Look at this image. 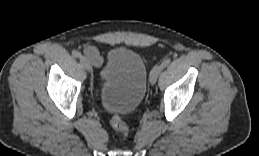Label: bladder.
<instances>
[{"label": "bladder", "instance_id": "1", "mask_svg": "<svg viewBox=\"0 0 259 156\" xmlns=\"http://www.w3.org/2000/svg\"><path fill=\"white\" fill-rule=\"evenodd\" d=\"M103 106L118 115L132 113L141 104L147 83V69L141 56L126 48H114L99 72Z\"/></svg>", "mask_w": 259, "mask_h": 156}]
</instances>
